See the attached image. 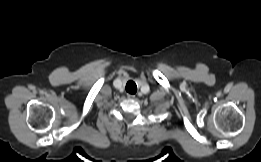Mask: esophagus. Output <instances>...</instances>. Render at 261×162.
Listing matches in <instances>:
<instances>
[{
    "label": "esophagus",
    "instance_id": "1",
    "mask_svg": "<svg viewBox=\"0 0 261 162\" xmlns=\"http://www.w3.org/2000/svg\"><path fill=\"white\" fill-rule=\"evenodd\" d=\"M127 97H128L129 99H134V98H135V95L128 94Z\"/></svg>",
    "mask_w": 261,
    "mask_h": 162
}]
</instances>
